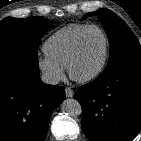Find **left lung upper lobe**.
I'll list each match as a JSON object with an SVG mask.
<instances>
[{"label":"left lung upper lobe","instance_id":"left-lung-upper-lobe-1","mask_svg":"<svg viewBox=\"0 0 141 141\" xmlns=\"http://www.w3.org/2000/svg\"><path fill=\"white\" fill-rule=\"evenodd\" d=\"M96 15L103 23L110 42V56L105 69L126 61L141 60V46L126 23L108 9L84 15Z\"/></svg>","mask_w":141,"mask_h":141}]
</instances>
